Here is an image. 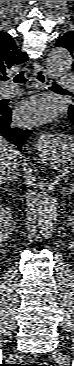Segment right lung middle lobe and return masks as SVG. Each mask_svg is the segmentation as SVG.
I'll use <instances>...</instances> for the list:
<instances>
[{"label":"right lung middle lobe","mask_w":74,"mask_h":366,"mask_svg":"<svg viewBox=\"0 0 74 366\" xmlns=\"http://www.w3.org/2000/svg\"><path fill=\"white\" fill-rule=\"evenodd\" d=\"M3 103V101L0 100V104Z\"/></svg>","instance_id":"dd1d6c3e"}]
</instances>
